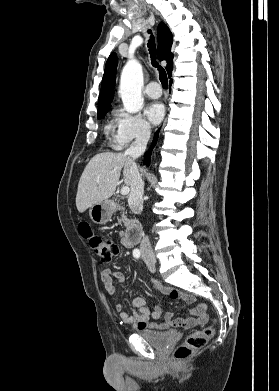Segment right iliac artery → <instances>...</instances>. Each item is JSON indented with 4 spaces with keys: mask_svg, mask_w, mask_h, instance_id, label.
<instances>
[{
    "mask_svg": "<svg viewBox=\"0 0 279 391\" xmlns=\"http://www.w3.org/2000/svg\"><path fill=\"white\" fill-rule=\"evenodd\" d=\"M140 255H141V253H140V250L139 249H134L133 250V256L135 257V258H139L140 257Z\"/></svg>",
    "mask_w": 279,
    "mask_h": 391,
    "instance_id": "1",
    "label": "right iliac artery"
}]
</instances>
